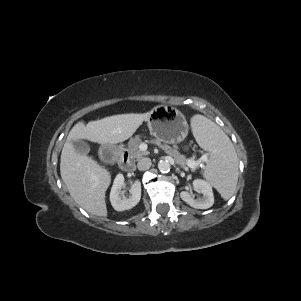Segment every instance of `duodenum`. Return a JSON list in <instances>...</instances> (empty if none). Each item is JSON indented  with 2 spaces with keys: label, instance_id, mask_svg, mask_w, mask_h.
<instances>
[{
  "label": "duodenum",
  "instance_id": "obj_1",
  "mask_svg": "<svg viewBox=\"0 0 301 301\" xmlns=\"http://www.w3.org/2000/svg\"><path fill=\"white\" fill-rule=\"evenodd\" d=\"M99 157L108 164L119 163L120 168L127 173L133 172L135 169L134 162L129 154L120 145L107 144L98 150Z\"/></svg>",
  "mask_w": 301,
  "mask_h": 301
}]
</instances>
